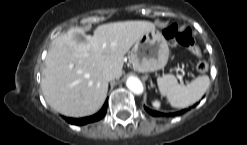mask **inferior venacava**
I'll return each mask as SVG.
<instances>
[{"instance_id":"inferior-vena-cava-1","label":"inferior vena cava","mask_w":247,"mask_h":145,"mask_svg":"<svg viewBox=\"0 0 247 145\" xmlns=\"http://www.w3.org/2000/svg\"><path fill=\"white\" fill-rule=\"evenodd\" d=\"M102 75L107 81H111L115 78L113 71L108 68L103 70Z\"/></svg>"}]
</instances>
